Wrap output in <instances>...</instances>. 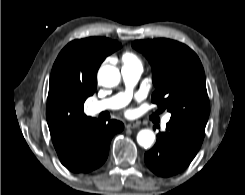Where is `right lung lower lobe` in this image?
<instances>
[{
  "mask_svg": "<svg viewBox=\"0 0 245 195\" xmlns=\"http://www.w3.org/2000/svg\"><path fill=\"white\" fill-rule=\"evenodd\" d=\"M123 128V123L117 120L106 124L96 119L83 130L74 149L59 157L61 163L73 173H88L97 169L107 159L112 137Z\"/></svg>",
  "mask_w": 245,
  "mask_h": 195,
  "instance_id": "98d812e1",
  "label": "right lung lower lobe"
}]
</instances>
